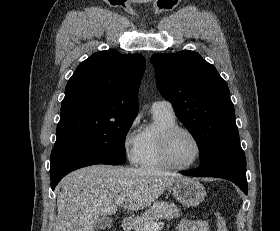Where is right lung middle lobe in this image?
<instances>
[{
	"label": "right lung middle lobe",
	"instance_id": "right-lung-middle-lobe-1",
	"mask_svg": "<svg viewBox=\"0 0 280 231\" xmlns=\"http://www.w3.org/2000/svg\"><path fill=\"white\" fill-rule=\"evenodd\" d=\"M133 121L113 116L60 120L53 148H75L124 164V142Z\"/></svg>",
	"mask_w": 280,
	"mask_h": 231
}]
</instances>
